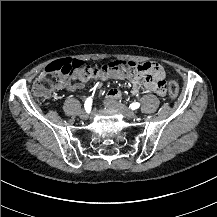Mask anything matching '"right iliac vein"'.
<instances>
[{"label": "right iliac vein", "instance_id": "63e3f726", "mask_svg": "<svg viewBox=\"0 0 217 217\" xmlns=\"http://www.w3.org/2000/svg\"><path fill=\"white\" fill-rule=\"evenodd\" d=\"M79 116H80V118L86 120L89 118V113L86 111H82Z\"/></svg>", "mask_w": 217, "mask_h": 217}]
</instances>
